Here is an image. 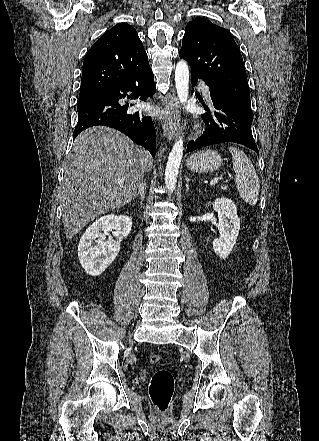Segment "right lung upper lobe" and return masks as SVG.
I'll list each match as a JSON object with an SVG mask.
<instances>
[{"label":"right lung upper lobe","mask_w":319,"mask_h":441,"mask_svg":"<svg viewBox=\"0 0 319 441\" xmlns=\"http://www.w3.org/2000/svg\"><path fill=\"white\" fill-rule=\"evenodd\" d=\"M149 69L148 57L136 30L127 23H118L86 54L78 104L93 100Z\"/></svg>","instance_id":"1"}]
</instances>
